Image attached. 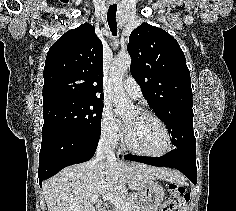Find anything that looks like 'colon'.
<instances>
[{
	"instance_id": "obj_1",
	"label": "colon",
	"mask_w": 236,
	"mask_h": 211,
	"mask_svg": "<svg viewBox=\"0 0 236 211\" xmlns=\"http://www.w3.org/2000/svg\"><path fill=\"white\" fill-rule=\"evenodd\" d=\"M171 200L162 211H174L176 205L188 203L190 194L186 187L181 184L171 183L168 186Z\"/></svg>"
}]
</instances>
